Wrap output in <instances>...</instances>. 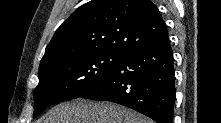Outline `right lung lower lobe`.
Here are the masks:
<instances>
[{
  "instance_id": "1",
  "label": "right lung lower lobe",
  "mask_w": 221,
  "mask_h": 123,
  "mask_svg": "<svg viewBox=\"0 0 221 123\" xmlns=\"http://www.w3.org/2000/svg\"><path fill=\"white\" fill-rule=\"evenodd\" d=\"M170 41L126 54L110 76L81 97L115 102L157 123H172L175 71Z\"/></svg>"
}]
</instances>
